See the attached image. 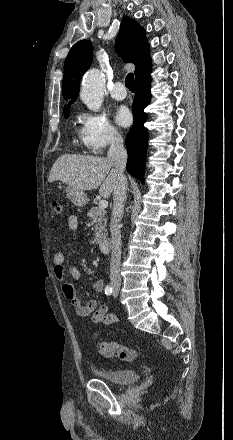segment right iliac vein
Returning <instances> with one entry per match:
<instances>
[{"label":"right iliac vein","instance_id":"right-iliac-vein-1","mask_svg":"<svg viewBox=\"0 0 233 440\" xmlns=\"http://www.w3.org/2000/svg\"><path fill=\"white\" fill-rule=\"evenodd\" d=\"M114 289L117 291L119 289V287L118 286H114Z\"/></svg>","mask_w":233,"mask_h":440}]
</instances>
